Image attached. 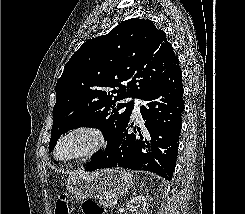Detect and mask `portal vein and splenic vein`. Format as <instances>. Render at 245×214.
Listing matches in <instances>:
<instances>
[{"label":"portal vein and splenic vein","mask_w":245,"mask_h":214,"mask_svg":"<svg viewBox=\"0 0 245 214\" xmlns=\"http://www.w3.org/2000/svg\"><path fill=\"white\" fill-rule=\"evenodd\" d=\"M113 204L116 205L117 204V200L113 201Z\"/></svg>","instance_id":"18ae733b"}]
</instances>
